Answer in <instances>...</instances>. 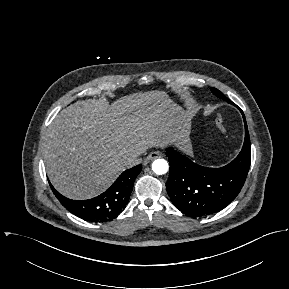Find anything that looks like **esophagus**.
I'll use <instances>...</instances> for the list:
<instances>
[{
  "label": "esophagus",
  "instance_id": "obj_1",
  "mask_svg": "<svg viewBox=\"0 0 289 289\" xmlns=\"http://www.w3.org/2000/svg\"><path fill=\"white\" fill-rule=\"evenodd\" d=\"M161 157V153L157 152V151H153L148 155V160H154L156 158H160Z\"/></svg>",
  "mask_w": 289,
  "mask_h": 289
}]
</instances>
